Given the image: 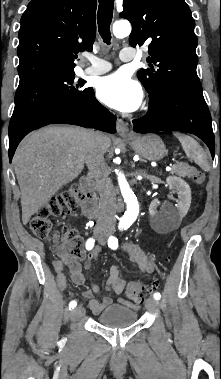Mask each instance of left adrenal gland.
<instances>
[{
    "instance_id": "left-adrenal-gland-1",
    "label": "left adrenal gland",
    "mask_w": 221,
    "mask_h": 379,
    "mask_svg": "<svg viewBox=\"0 0 221 379\" xmlns=\"http://www.w3.org/2000/svg\"><path fill=\"white\" fill-rule=\"evenodd\" d=\"M132 167L134 168V167H135V165H134V164H132Z\"/></svg>"
}]
</instances>
